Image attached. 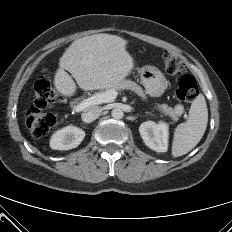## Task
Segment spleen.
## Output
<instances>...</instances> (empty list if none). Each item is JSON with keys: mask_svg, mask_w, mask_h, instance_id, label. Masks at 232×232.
Wrapping results in <instances>:
<instances>
[{"mask_svg": "<svg viewBox=\"0 0 232 232\" xmlns=\"http://www.w3.org/2000/svg\"><path fill=\"white\" fill-rule=\"evenodd\" d=\"M208 123V109L205 98L198 95L192 102L189 118L174 131L172 155L179 157L191 151L203 137Z\"/></svg>", "mask_w": 232, "mask_h": 232, "instance_id": "spleen-1", "label": "spleen"}]
</instances>
